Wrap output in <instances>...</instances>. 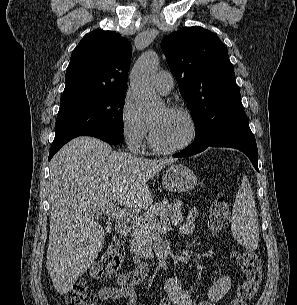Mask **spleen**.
Segmentation results:
<instances>
[{
	"mask_svg": "<svg viewBox=\"0 0 297 305\" xmlns=\"http://www.w3.org/2000/svg\"><path fill=\"white\" fill-rule=\"evenodd\" d=\"M231 231L233 236L249 249L259 243V226L253 192L246 175L242 177L232 210Z\"/></svg>",
	"mask_w": 297,
	"mask_h": 305,
	"instance_id": "1",
	"label": "spleen"
}]
</instances>
